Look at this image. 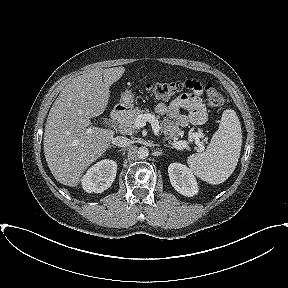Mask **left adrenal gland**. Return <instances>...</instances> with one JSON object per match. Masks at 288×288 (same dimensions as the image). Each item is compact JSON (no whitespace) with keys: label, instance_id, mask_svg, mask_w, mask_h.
<instances>
[{"label":"left adrenal gland","instance_id":"1","mask_svg":"<svg viewBox=\"0 0 288 288\" xmlns=\"http://www.w3.org/2000/svg\"><path fill=\"white\" fill-rule=\"evenodd\" d=\"M164 146H166V147H169V146H168V145H166V144H165Z\"/></svg>","mask_w":288,"mask_h":288}]
</instances>
